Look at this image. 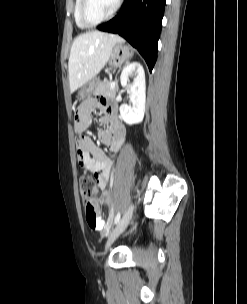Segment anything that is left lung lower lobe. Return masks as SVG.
I'll return each instance as SVG.
<instances>
[{"mask_svg":"<svg viewBox=\"0 0 247 304\" xmlns=\"http://www.w3.org/2000/svg\"><path fill=\"white\" fill-rule=\"evenodd\" d=\"M164 8L165 0H125L121 11L97 28L125 38L139 51L152 71L157 59Z\"/></svg>","mask_w":247,"mask_h":304,"instance_id":"left-lung-lower-lobe-1","label":"left lung lower lobe"}]
</instances>
